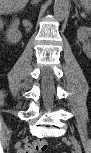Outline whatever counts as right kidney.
I'll return each instance as SVG.
<instances>
[{
  "instance_id": "1",
  "label": "right kidney",
  "mask_w": 91,
  "mask_h": 153,
  "mask_svg": "<svg viewBox=\"0 0 91 153\" xmlns=\"http://www.w3.org/2000/svg\"><path fill=\"white\" fill-rule=\"evenodd\" d=\"M18 26H19V19L15 18L12 21V24L7 31L6 34L7 41L12 44L17 43L22 38V34L18 31Z\"/></svg>"
}]
</instances>
